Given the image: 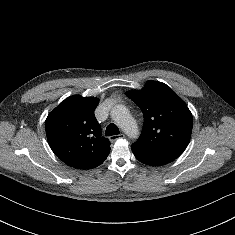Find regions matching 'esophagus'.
<instances>
[{"label": "esophagus", "mask_w": 235, "mask_h": 235, "mask_svg": "<svg viewBox=\"0 0 235 235\" xmlns=\"http://www.w3.org/2000/svg\"><path fill=\"white\" fill-rule=\"evenodd\" d=\"M125 137V135L124 134H119V135H112V136H110V141L111 142H115L116 140H118V139H120V138H124Z\"/></svg>", "instance_id": "esophagus-1"}]
</instances>
